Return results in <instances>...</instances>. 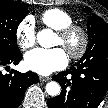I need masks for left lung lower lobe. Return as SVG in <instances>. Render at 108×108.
I'll list each match as a JSON object with an SVG mask.
<instances>
[{"instance_id": "1", "label": "left lung lower lobe", "mask_w": 108, "mask_h": 108, "mask_svg": "<svg viewBox=\"0 0 108 108\" xmlns=\"http://www.w3.org/2000/svg\"><path fill=\"white\" fill-rule=\"evenodd\" d=\"M59 82V96L47 101L48 108H97L108 91V64L75 65L52 77ZM77 91L74 100H66L69 90Z\"/></svg>"}]
</instances>
